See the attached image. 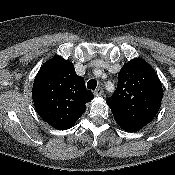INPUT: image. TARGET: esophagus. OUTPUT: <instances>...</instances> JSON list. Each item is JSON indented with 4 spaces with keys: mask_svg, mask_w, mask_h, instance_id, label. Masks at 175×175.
Listing matches in <instances>:
<instances>
[{
    "mask_svg": "<svg viewBox=\"0 0 175 175\" xmlns=\"http://www.w3.org/2000/svg\"><path fill=\"white\" fill-rule=\"evenodd\" d=\"M103 94V89L101 87H98L95 91H94V95L96 96H101Z\"/></svg>",
    "mask_w": 175,
    "mask_h": 175,
    "instance_id": "obj_1",
    "label": "esophagus"
}]
</instances>
